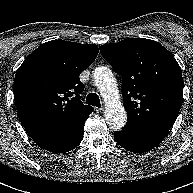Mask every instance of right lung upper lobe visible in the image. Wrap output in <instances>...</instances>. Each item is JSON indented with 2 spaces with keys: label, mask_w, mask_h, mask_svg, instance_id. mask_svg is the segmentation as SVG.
Masks as SVG:
<instances>
[{
  "label": "right lung upper lobe",
  "mask_w": 193,
  "mask_h": 193,
  "mask_svg": "<svg viewBox=\"0 0 193 193\" xmlns=\"http://www.w3.org/2000/svg\"><path fill=\"white\" fill-rule=\"evenodd\" d=\"M97 55L95 44L52 40L27 56L15 76L14 98L30 137L65 129L94 111L80 100L79 74Z\"/></svg>",
  "instance_id": "obj_1"
}]
</instances>
